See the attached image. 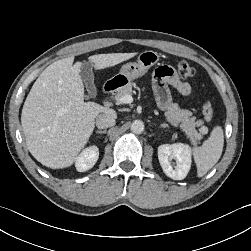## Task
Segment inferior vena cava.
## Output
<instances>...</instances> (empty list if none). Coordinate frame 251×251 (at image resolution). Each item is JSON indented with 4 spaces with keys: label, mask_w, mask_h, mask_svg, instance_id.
<instances>
[{
    "label": "inferior vena cava",
    "mask_w": 251,
    "mask_h": 251,
    "mask_svg": "<svg viewBox=\"0 0 251 251\" xmlns=\"http://www.w3.org/2000/svg\"><path fill=\"white\" fill-rule=\"evenodd\" d=\"M115 125V115L112 113H101L96 117V126L105 129Z\"/></svg>",
    "instance_id": "obj_1"
}]
</instances>
